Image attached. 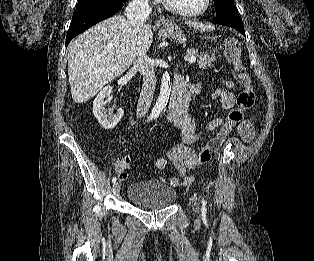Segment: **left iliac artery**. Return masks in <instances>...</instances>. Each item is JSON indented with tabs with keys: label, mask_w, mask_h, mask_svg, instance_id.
<instances>
[{
	"label": "left iliac artery",
	"mask_w": 314,
	"mask_h": 261,
	"mask_svg": "<svg viewBox=\"0 0 314 261\" xmlns=\"http://www.w3.org/2000/svg\"><path fill=\"white\" fill-rule=\"evenodd\" d=\"M206 201L204 198H202V213L206 214L207 213V206H206Z\"/></svg>",
	"instance_id": "obj_1"
}]
</instances>
